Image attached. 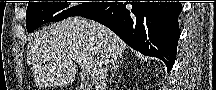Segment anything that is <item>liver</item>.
<instances>
[{
	"instance_id": "obj_1",
	"label": "liver",
	"mask_w": 216,
	"mask_h": 90,
	"mask_svg": "<svg viewBox=\"0 0 216 90\" xmlns=\"http://www.w3.org/2000/svg\"><path fill=\"white\" fill-rule=\"evenodd\" d=\"M127 48L102 24L85 18H68L36 32L27 46V60L38 88L71 86L77 62H81L83 74H88L95 86L100 62L104 58H120ZM92 86H88L89 90Z\"/></svg>"
}]
</instances>
